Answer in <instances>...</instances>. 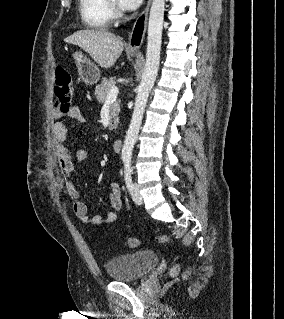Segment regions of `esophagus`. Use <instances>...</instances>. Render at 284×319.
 <instances>
[{
  "label": "esophagus",
  "mask_w": 284,
  "mask_h": 319,
  "mask_svg": "<svg viewBox=\"0 0 284 319\" xmlns=\"http://www.w3.org/2000/svg\"><path fill=\"white\" fill-rule=\"evenodd\" d=\"M150 3H151V0H148L146 7L139 14V16L137 17L133 25L130 38H129V43L127 46V50L130 52H139L143 44L146 28H147V19H148Z\"/></svg>",
  "instance_id": "1"
}]
</instances>
